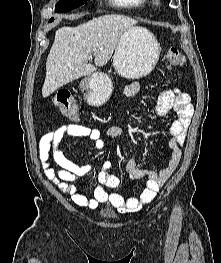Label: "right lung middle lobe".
Returning <instances> with one entry per match:
<instances>
[{
	"label": "right lung middle lobe",
	"instance_id": "right-lung-middle-lobe-1",
	"mask_svg": "<svg viewBox=\"0 0 221 263\" xmlns=\"http://www.w3.org/2000/svg\"><path fill=\"white\" fill-rule=\"evenodd\" d=\"M87 0H60L55 7V12H69L83 5ZM54 19L51 18L49 22Z\"/></svg>",
	"mask_w": 221,
	"mask_h": 263
}]
</instances>
